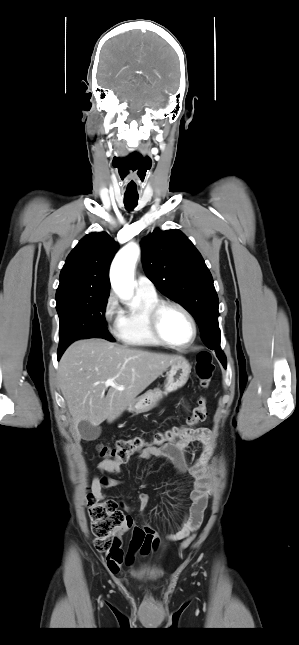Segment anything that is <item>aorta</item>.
Listing matches in <instances>:
<instances>
[{"label":"aorta","mask_w":299,"mask_h":645,"mask_svg":"<svg viewBox=\"0 0 299 645\" xmlns=\"http://www.w3.org/2000/svg\"><path fill=\"white\" fill-rule=\"evenodd\" d=\"M139 253V247L134 243H129L117 253L112 262L110 270L111 285L115 293L123 299H130L133 295V271Z\"/></svg>","instance_id":"obj_1"}]
</instances>
